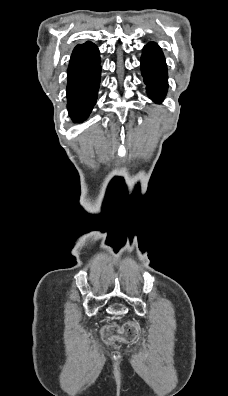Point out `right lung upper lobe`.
<instances>
[{
    "label": "right lung upper lobe",
    "mask_w": 228,
    "mask_h": 396,
    "mask_svg": "<svg viewBox=\"0 0 228 396\" xmlns=\"http://www.w3.org/2000/svg\"><path fill=\"white\" fill-rule=\"evenodd\" d=\"M84 45L91 46L93 44L91 42H86Z\"/></svg>",
    "instance_id": "obj_1"
}]
</instances>
